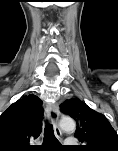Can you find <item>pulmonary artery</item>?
I'll return each mask as SVG.
<instances>
[{
	"label": "pulmonary artery",
	"mask_w": 118,
	"mask_h": 151,
	"mask_svg": "<svg viewBox=\"0 0 118 151\" xmlns=\"http://www.w3.org/2000/svg\"><path fill=\"white\" fill-rule=\"evenodd\" d=\"M65 144H67V145L76 144V140L74 138H68L65 140Z\"/></svg>",
	"instance_id": "obj_1"
}]
</instances>
